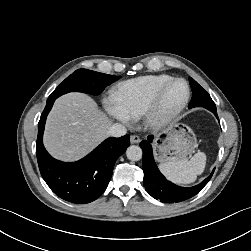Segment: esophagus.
I'll return each mask as SVG.
<instances>
[{
	"label": "esophagus",
	"mask_w": 251,
	"mask_h": 251,
	"mask_svg": "<svg viewBox=\"0 0 251 251\" xmlns=\"http://www.w3.org/2000/svg\"><path fill=\"white\" fill-rule=\"evenodd\" d=\"M130 141H131L132 144H137V143L140 142V138H139V136H137V135H132V136L130 137Z\"/></svg>",
	"instance_id": "34e87169"
}]
</instances>
